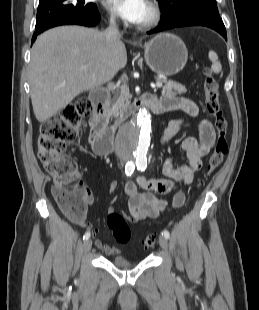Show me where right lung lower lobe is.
Listing matches in <instances>:
<instances>
[{
    "label": "right lung lower lobe",
    "mask_w": 259,
    "mask_h": 310,
    "mask_svg": "<svg viewBox=\"0 0 259 310\" xmlns=\"http://www.w3.org/2000/svg\"><path fill=\"white\" fill-rule=\"evenodd\" d=\"M100 21V14L98 13V10L89 13L87 16L81 17V18H53L46 22L44 25L36 28V31L33 34L32 37V43L37 38V35L44 32L45 30L60 26V25H69V24H77V25H84V26H95Z\"/></svg>",
    "instance_id": "obj_1"
}]
</instances>
